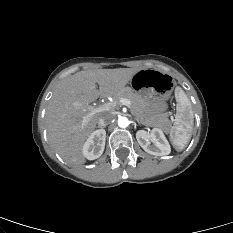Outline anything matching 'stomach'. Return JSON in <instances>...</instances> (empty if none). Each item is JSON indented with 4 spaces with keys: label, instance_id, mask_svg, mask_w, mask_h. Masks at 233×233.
Instances as JSON below:
<instances>
[{
    "label": "stomach",
    "instance_id": "obj_1",
    "mask_svg": "<svg viewBox=\"0 0 233 233\" xmlns=\"http://www.w3.org/2000/svg\"><path fill=\"white\" fill-rule=\"evenodd\" d=\"M131 89L146 102L155 97L162 102L173 100L178 93V86L171 76L157 69H141L134 74Z\"/></svg>",
    "mask_w": 233,
    "mask_h": 233
}]
</instances>
